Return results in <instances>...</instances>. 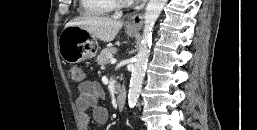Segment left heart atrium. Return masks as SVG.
Instances as JSON below:
<instances>
[{
	"instance_id": "left-heart-atrium-1",
	"label": "left heart atrium",
	"mask_w": 257,
	"mask_h": 130,
	"mask_svg": "<svg viewBox=\"0 0 257 130\" xmlns=\"http://www.w3.org/2000/svg\"><path fill=\"white\" fill-rule=\"evenodd\" d=\"M131 1L140 2V1H143V0H131Z\"/></svg>"
}]
</instances>
